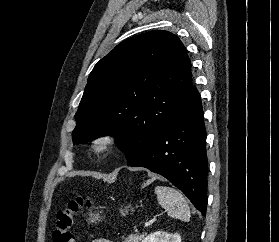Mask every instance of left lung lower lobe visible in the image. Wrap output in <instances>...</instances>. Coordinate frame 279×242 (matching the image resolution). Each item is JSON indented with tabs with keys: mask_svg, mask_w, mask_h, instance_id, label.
<instances>
[{
	"mask_svg": "<svg viewBox=\"0 0 279 242\" xmlns=\"http://www.w3.org/2000/svg\"><path fill=\"white\" fill-rule=\"evenodd\" d=\"M201 98L191 86L184 102L147 149L128 166L148 168L167 178L205 215L208 159Z\"/></svg>",
	"mask_w": 279,
	"mask_h": 242,
	"instance_id": "1",
	"label": "left lung lower lobe"
}]
</instances>
